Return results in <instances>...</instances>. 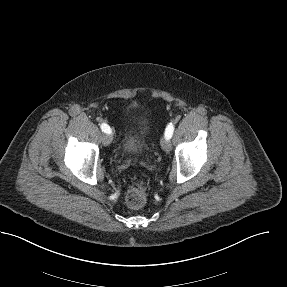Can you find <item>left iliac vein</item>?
I'll use <instances>...</instances> for the list:
<instances>
[{
	"label": "left iliac vein",
	"mask_w": 287,
	"mask_h": 287,
	"mask_svg": "<svg viewBox=\"0 0 287 287\" xmlns=\"http://www.w3.org/2000/svg\"><path fill=\"white\" fill-rule=\"evenodd\" d=\"M161 147L165 152H169L171 150V143L169 139H167L166 137H163L161 139Z\"/></svg>",
	"instance_id": "obj_1"
}]
</instances>
